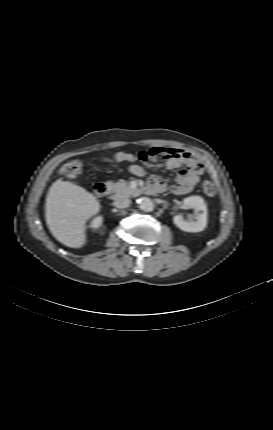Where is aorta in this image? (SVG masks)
Listing matches in <instances>:
<instances>
[{
  "label": "aorta",
  "instance_id": "aorta-1",
  "mask_svg": "<svg viewBox=\"0 0 273 430\" xmlns=\"http://www.w3.org/2000/svg\"><path fill=\"white\" fill-rule=\"evenodd\" d=\"M139 208L145 212H151L154 209L152 200L148 197H141L138 199Z\"/></svg>",
  "mask_w": 273,
  "mask_h": 430
}]
</instances>
